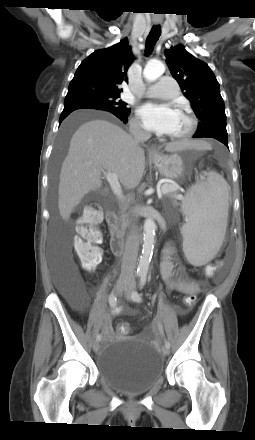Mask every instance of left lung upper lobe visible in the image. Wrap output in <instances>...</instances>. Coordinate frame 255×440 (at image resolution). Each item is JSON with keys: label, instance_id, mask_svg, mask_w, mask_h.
I'll list each match as a JSON object with an SVG mask.
<instances>
[{"label": "left lung upper lobe", "instance_id": "1", "mask_svg": "<svg viewBox=\"0 0 255 440\" xmlns=\"http://www.w3.org/2000/svg\"><path fill=\"white\" fill-rule=\"evenodd\" d=\"M165 56L172 76L200 120L196 134L227 135L224 102L219 83L209 66L188 53L182 45L166 50Z\"/></svg>", "mask_w": 255, "mask_h": 440}]
</instances>
